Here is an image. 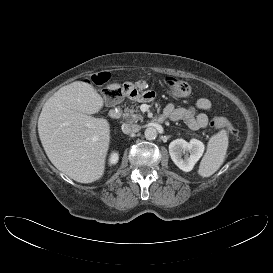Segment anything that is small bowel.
Instances as JSON below:
<instances>
[{"label": "small bowel", "mask_w": 273, "mask_h": 273, "mask_svg": "<svg viewBox=\"0 0 273 273\" xmlns=\"http://www.w3.org/2000/svg\"><path fill=\"white\" fill-rule=\"evenodd\" d=\"M211 102L206 98L197 100L195 106L180 107L168 104L163 116L172 121H184L191 130L203 129L208 126L209 118L206 114L211 109Z\"/></svg>", "instance_id": "c3829d8e"}]
</instances>
